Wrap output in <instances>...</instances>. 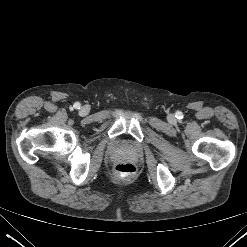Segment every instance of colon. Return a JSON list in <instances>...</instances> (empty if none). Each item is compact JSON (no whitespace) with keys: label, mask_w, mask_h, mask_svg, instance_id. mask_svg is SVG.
<instances>
[{"label":"colon","mask_w":247,"mask_h":247,"mask_svg":"<svg viewBox=\"0 0 247 247\" xmlns=\"http://www.w3.org/2000/svg\"><path fill=\"white\" fill-rule=\"evenodd\" d=\"M116 173L125 178L133 175L136 171V167L131 163H121L115 167Z\"/></svg>","instance_id":"5ec220e1"}]
</instances>
